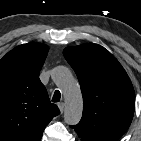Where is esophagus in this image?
<instances>
[{"label": "esophagus", "mask_w": 141, "mask_h": 141, "mask_svg": "<svg viewBox=\"0 0 141 141\" xmlns=\"http://www.w3.org/2000/svg\"><path fill=\"white\" fill-rule=\"evenodd\" d=\"M58 108L60 112L63 113L65 109V104L63 102L58 103Z\"/></svg>", "instance_id": "obj_1"}]
</instances>
